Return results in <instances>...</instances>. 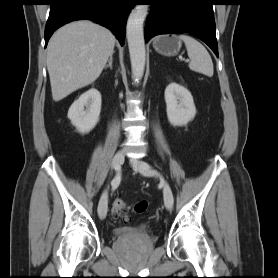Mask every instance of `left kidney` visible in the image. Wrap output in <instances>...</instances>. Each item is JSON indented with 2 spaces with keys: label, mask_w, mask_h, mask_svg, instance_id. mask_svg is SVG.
Wrapping results in <instances>:
<instances>
[{
  "label": "left kidney",
  "mask_w": 278,
  "mask_h": 278,
  "mask_svg": "<svg viewBox=\"0 0 278 278\" xmlns=\"http://www.w3.org/2000/svg\"><path fill=\"white\" fill-rule=\"evenodd\" d=\"M167 117L173 126H184L196 115L191 93L178 83L172 82L165 89Z\"/></svg>",
  "instance_id": "obj_1"
}]
</instances>
